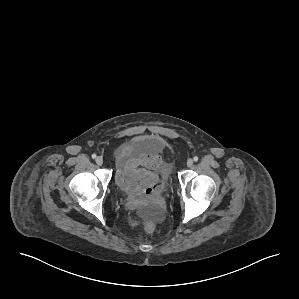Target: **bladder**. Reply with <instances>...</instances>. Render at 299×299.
Here are the masks:
<instances>
[{
    "label": "bladder",
    "mask_w": 299,
    "mask_h": 299,
    "mask_svg": "<svg viewBox=\"0 0 299 299\" xmlns=\"http://www.w3.org/2000/svg\"><path fill=\"white\" fill-rule=\"evenodd\" d=\"M133 145L139 154H156L163 148V143L158 138H141L134 141ZM153 172L156 174L155 171Z\"/></svg>",
    "instance_id": "31cf9c89"
}]
</instances>
